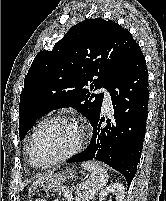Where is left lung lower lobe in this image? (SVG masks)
<instances>
[{
    "mask_svg": "<svg viewBox=\"0 0 166 201\" xmlns=\"http://www.w3.org/2000/svg\"><path fill=\"white\" fill-rule=\"evenodd\" d=\"M114 118L107 125L101 108L90 121L93 136L87 149L68 160L69 163L98 160L119 171L131 183L142 152L148 116V76L146 62L139 47L108 88Z\"/></svg>",
    "mask_w": 166,
    "mask_h": 201,
    "instance_id": "1",
    "label": "left lung lower lobe"
}]
</instances>
